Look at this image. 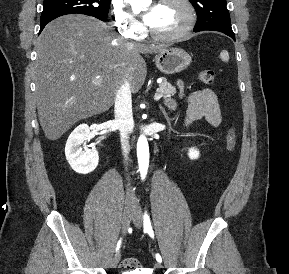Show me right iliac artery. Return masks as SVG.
I'll return each instance as SVG.
<instances>
[{"label":"right iliac artery","instance_id":"1","mask_svg":"<svg viewBox=\"0 0 289 274\" xmlns=\"http://www.w3.org/2000/svg\"><path fill=\"white\" fill-rule=\"evenodd\" d=\"M121 242H122V240L120 239V240L118 241V243H117L116 251L119 250V248H120V246H121Z\"/></svg>","mask_w":289,"mask_h":274}]
</instances>
